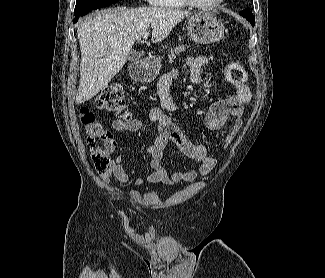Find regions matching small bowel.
Here are the masks:
<instances>
[{"instance_id":"c3829d8e","label":"small bowel","mask_w":325,"mask_h":278,"mask_svg":"<svg viewBox=\"0 0 325 278\" xmlns=\"http://www.w3.org/2000/svg\"><path fill=\"white\" fill-rule=\"evenodd\" d=\"M208 64L206 56L188 57L184 68L189 71L193 86L199 94V101L204 103V82L201 77V68ZM178 75V71L163 76L158 83L157 94L161 108H153L149 111L148 121L152 124L157 135L155 142L147 149L150 156L152 171L145 174L146 180L150 183L174 184L191 182L200 175H208L215 166V159L208 153L207 148L190 139L175 123L174 119L167 112H177L181 105L169 95V87L172 80ZM235 93L228 98L212 103L205 115V122L209 129L217 131L225 127L230 119L234 120L231 128L227 129L222 142V147L227 148L234 140L242 126L244 106L251 99V92L246 84L234 85ZM144 127L138 119L114 120L112 128L116 132H138ZM169 142H172L183 154L199 163L198 169H190L185 172L171 171L162 164L165 151ZM123 156L120 154L111 162L110 168L101 174V179L108 183L113 178L120 183L126 184L129 176L122 166ZM137 185L144 183L143 179L137 180ZM128 228L130 226L125 223Z\"/></svg>"}]
</instances>
